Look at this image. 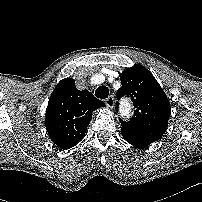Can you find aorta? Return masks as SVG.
<instances>
[{
	"label": "aorta",
	"instance_id": "762f6f07",
	"mask_svg": "<svg viewBox=\"0 0 202 202\" xmlns=\"http://www.w3.org/2000/svg\"><path fill=\"white\" fill-rule=\"evenodd\" d=\"M129 111H130V108H126L125 109V114L127 115V113H129Z\"/></svg>",
	"mask_w": 202,
	"mask_h": 202
}]
</instances>
